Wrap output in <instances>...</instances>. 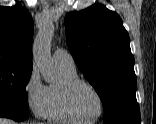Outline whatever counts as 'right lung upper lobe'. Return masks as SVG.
Here are the masks:
<instances>
[{"instance_id":"right-lung-upper-lobe-1","label":"right lung upper lobe","mask_w":156,"mask_h":124,"mask_svg":"<svg viewBox=\"0 0 156 124\" xmlns=\"http://www.w3.org/2000/svg\"><path fill=\"white\" fill-rule=\"evenodd\" d=\"M33 20L23 7L0 6V64L32 65Z\"/></svg>"}]
</instances>
